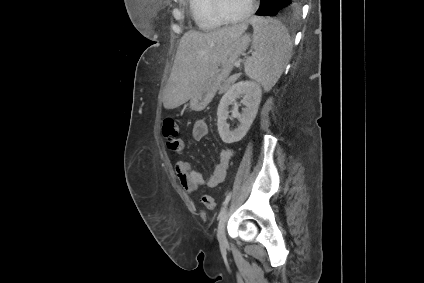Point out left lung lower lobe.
Returning a JSON list of instances; mask_svg holds the SVG:
<instances>
[{"instance_id": "obj_1", "label": "left lung lower lobe", "mask_w": 424, "mask_h": 283, "mask_svg": "<svg viewBox=\"0 0 424 283\" xmlns=\"http://www.w3.org/2000/svg\"><path fill=\"white\" fill-rule=\"evenodd\" d=\"M260 7L256 12L259 16H275L277 14L297 13L301 8L302 0H260Z\"/></svg>"}]
</instances>
